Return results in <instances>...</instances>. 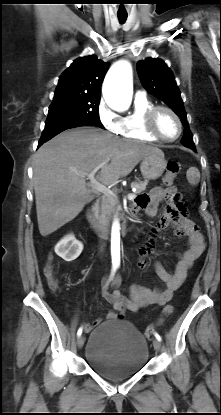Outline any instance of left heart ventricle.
<instances>
[{"label": "left heart ventricle", "mask_w": 221, "mask_h": 415, "mask_svg": "<svg viewBox=\"0 0 221 415\" xmlns=\"http://www.w3.org/2000/svg\"><path fill=\"white\" fill-rule=\"evenodd\" d=\"M157 128L160 133L168 138H173L178 133V124L175 118L166 111H161L157 117Z\"/></svg>", "instance_id": "obj_1"}]
</instances>
